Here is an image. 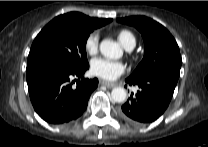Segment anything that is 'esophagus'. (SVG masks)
I'll list each match as a JSON object with an SVG mask.
<instances>
[{
  "label": "esophagus",
  "mask_w": 208,
  "mask_h": 147,
  "mask_svg": "<svg viewBox=\"0 0 208 147\" xmlns=\"http://www.w3.org/2000/svg\"><path fill=\"white\" fill-rule=\"evenodd\" d=\"M100 84H102L104 86H107L109 88H113V87L117 86L116 83L108 82V81H105V80H101Z\"/></svg>",
  "instance_id": "34e87169"
}]
</instances>
